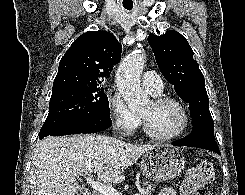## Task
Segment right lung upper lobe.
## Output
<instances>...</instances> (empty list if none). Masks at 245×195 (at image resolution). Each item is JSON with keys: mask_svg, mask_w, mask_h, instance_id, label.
<instances>
[{"mask_svg": "<svg viewBox=\"0 0 245 195\" xmlns=\"http://www.w3.org/2000/svg\"><path fill=\"white\" fill-rule=\"evenodd\" d=\"M122 46L107 31L79 36L61 58L53 91L79 87H103L121 58Z\"/></svg>", "mask_w": 245, "mask_h": 195, "instance_id": "obj_1", "label": "right lung upper lobe"}]
</instances>
